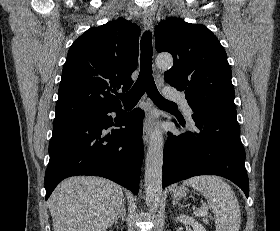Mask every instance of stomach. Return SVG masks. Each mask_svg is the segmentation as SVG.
Masks as SVG:
<instances>
[{"label": "stomach", "mask_w": 280, "mask_h": 231, "mask_svg": "<svg viewBox=\"0 0 280 231\" xmlns=\"http://www.w3.org/2000/svg\"><path fill=\"white\" fill-rule=\"evenodd\" d=\"M170 193L174 199H180V197H185V195H187L188 189L187 187H173Z\"/></svg>", "instance_id": "stomach-1"}]
</instances>
